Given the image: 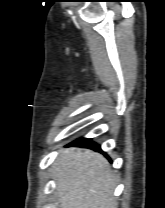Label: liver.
Returning a JSON list of instances; mask_svg holds the SVG:
<instances>
[{
    "label": "liver",
    "mask_w": 165,
    "mask_h": 208,
    "mask_svg": "<svg viewBox=\"0 0 165 208\" xmlns=\"http://www.w3.org/2000/svg\"><path fill=\"white\" fill-rule=\"evenodd\" d=\"M60 208H117V179L108 161L88 149L64 150L52 165Z\"/></svg>",
    "instance_id": "1"
}]
</instances>
